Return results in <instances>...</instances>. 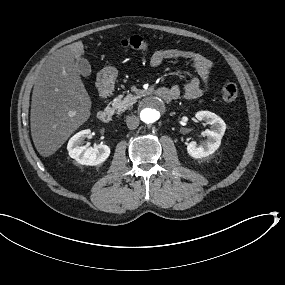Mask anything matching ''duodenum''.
<instances>
[{
    "instance_id": "1",
    "label": "duodenum",
    "mask_w": 285,
    "mask_h": 285,
    "mask_svg": "<svg viewBox=\"0 0 285 285\" xmlns=\"http://www.w3.org/2000/svg\"><path fill=\"white\" fill-rule=\"evenodd\" d=\"M110 89L111 85L107 81H102L99 84V92L102 97H106L110 92ZM151 91L165 101L176 99V94L170 88L159 87L153 88ZM113 113L114 112L112 108L105 107L98 111L97 117L101 122L108 123L111 121Z\"/></svg>"
}]
</instances>
